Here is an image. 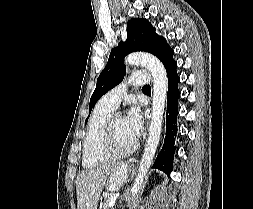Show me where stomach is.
Instances as JSON below:
<instances>
[{"label":"stomach","mask_w":253,"mask_h":209,"mask_svg":"<svg viewBox=\"0 0 253 209\" xmlns=\"http://www.w3.org/2000/svg\"><path fill=\"white\" fill-rule=\"evenodd\" d=\"M110 186H114V181H102L101 190H110Z\"/></svg>","instance_id":"0dacf381"}]
</instances>
